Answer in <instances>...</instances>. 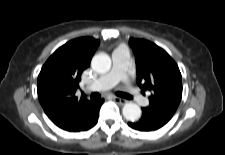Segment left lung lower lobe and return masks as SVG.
Returning <instances> with one entry per match:
<instances>
[{"instance_id": "obj_1", "label": "left lung lower lobe", "mask_w": 225, "mask_h": 155, "mask_svg": "<svg viewBox=\"0 0 225 155\" xmlns=\"http://www.w3.org/2000/svg\"><path fill=\"white\" fill-rule=\"evenodd\" d=\"M174 114L164 111H152L143 108L142 117L135 122H129L128 126L139 131H154L163 127Z\"/></svg>"}]
</instances>
